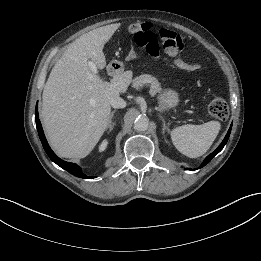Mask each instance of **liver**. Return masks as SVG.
Returning a JSON list of instances; mask_svg holds the SVG:
<instances>
[{"label": "liver", "instance_id": "6515ba94", "mask_svg": "<svg viewBox=\"0 0 261 261\" xmlns=\"http://www.w3.org/2000/svg\"><path fill=\"white\" fill-rule=\"evenodd\" d=\"M109 27L94 29L72 42L54 65L42 94L41 118L53 149L65 158H84L96 146L109 125L110 99L124 93L131 72L110 82L91 72L106 66L105 42Z\"/></svg>", "mask_w": 261, "mask_h": 261}]
</instances>
